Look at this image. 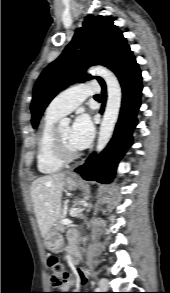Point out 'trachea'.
Segmentation results:
<instances>
[{"mask_svg": "<svg viewBox=\"0 0 170 293\" xmlns=\"http://www.w3.org/2000/svg\"><path fill=\"white\" fill-rule=\"evenodd\" d=\"M95 97H100V95H95Z\"/></svg>", "mask_w": 170, "mask_h": 293, "instance_id": "obj_1", "label": "trachea"}]
</instances>
